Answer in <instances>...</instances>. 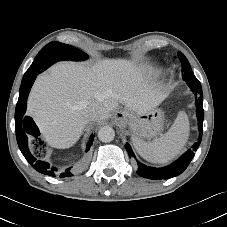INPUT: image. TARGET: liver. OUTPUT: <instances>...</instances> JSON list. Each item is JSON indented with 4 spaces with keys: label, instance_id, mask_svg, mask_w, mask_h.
I'll return each instance as SVG.
<instances>
[{
    "label": "liver",
    "instance_id": "1",
    "mask_svg": "<svg viewBox=\"0 0 227 227\" xmlns=\"http://www.w3.org/2000/svg\"><path fill=\"white\" fill-rule=\"evenodd\" d=\"M166 97L167 93L132 61L104 59L93 65L61 62L36 79L28 112L48 144L68 148L89 121L106 120L119 104L129 111L146 113ZM84 103L97 105L95 118L86 117Z\"/></svg>",
    "mask_w": 227,
    "mask_h": 227
}]
</instances>
